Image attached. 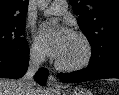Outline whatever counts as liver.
Returning a JSON list of instances; mask_svg holds the SVG:
<instances>
[{"mask_svg":"<svg viewBox=\"0 0 119 95\" xmlns=\"http://www.w3.org/2000/svg\"><path fill=\"white\" fill-rule=\"evenodd\" d=\"M20 80L0 79V95H22ZM44 90L35 87V95H44Z\"/></svg>","mask_w":119,"mask_h":95,"instance_id":"6515ba94","label":"liver"}]
</instances>
